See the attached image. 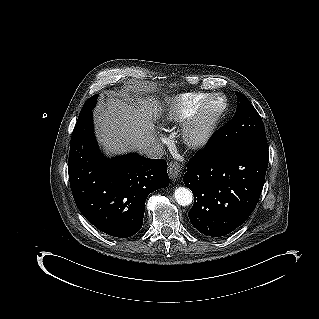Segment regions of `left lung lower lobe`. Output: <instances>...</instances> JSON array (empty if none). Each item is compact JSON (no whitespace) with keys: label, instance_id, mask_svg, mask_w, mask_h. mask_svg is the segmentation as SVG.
Masks as SVG:
<instances>
[{"label":"left lung lower lobe","instance_id":"left-lung-lower-lobe-1","mask_svg":"<svg viewBox=\"0 0 319 319\" xmlns=\"http://www.w3.org/2000/svg\"><path fill=\"white\" fill-rule=\"evenodd\" d=\"M267 165V142L198 152L183 178L194 195L188 216L196 231L219 238L242 225L259 200Z\"/></svg>","mask_w":319,"mask_h":319}]
</instances>
